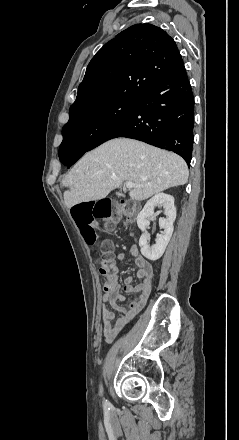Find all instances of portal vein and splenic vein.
<instances>
[{
    "label": "portal vein and splenic vein",
    "mask_w": 239,
    "mask_h": 440,
    "mask_svg": "<svg viewBox=\"0 0 239 440\" xmlns=\"http://www.w3.org/2000/svg\"><path fill=\"white\" fill-rule=\"evenodd\" d=\"M126 188H139V184H133V182H127Z\"/></svg>",
    "instance_id": "1"
}]
</instances>
